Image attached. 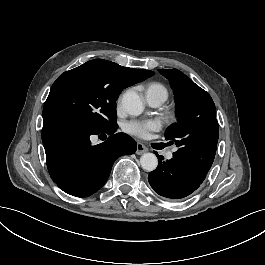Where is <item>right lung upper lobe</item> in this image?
Segmentation results:
<instances>
[{"instance_id": "cb5924a9", "label": "right lung upper lobe", "mask_w": 265, "mask_h": 265, "mask_svg": "<svg viewBox=\"0 0 265 265\" xmlns=\"http://www.w3.org/2000/svg\"><path fill=\"white\" fill-rule=\"evenodd\" d=\"M123 68H125L127 71L134 74L137 79V82H141L154 74L153 71H149V70L132 69V68H127V67H123Z\"/></svg>"}]
</instances>
